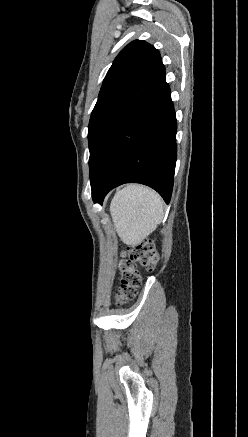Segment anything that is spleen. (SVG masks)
I'll return each mask as SVG.
<instances>
[{"instance_id":"obj_1","label":"spleen","mask_w":248,"mask_h":437,"mask_svg":"<svg viewBox=\"0 0 248 437\" xmlns=\"http://www.w3.org/2000/svg\"><path fill=\"white\" fill-rule=\"evenodd\" d=\"M110 211L115 229L126 244L139 242L164 215L160 195L139 184H130L119 190L111 202Z\"/></svg>"}]
</instances>
